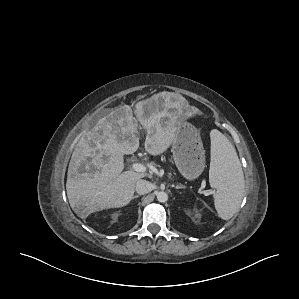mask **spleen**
Returning <instances> with one entry per match:
<instances>
[{"label": "spleen", "instance_id": "obj_1", "mask_svg": "<svg viewBox=\"0 0 299 299\" xmlns=\"http://www.w3.org/2000/svg\"><path fill=\"white\" fill-rule=\"evenodd\" d=\"M211 161L209 182L218 216L229 220L238 210L245 188L242 167L232 143L218 130L210 133Z\"/></svg>", "mask_w": 299, "mask_h": 299}]
</instances>
